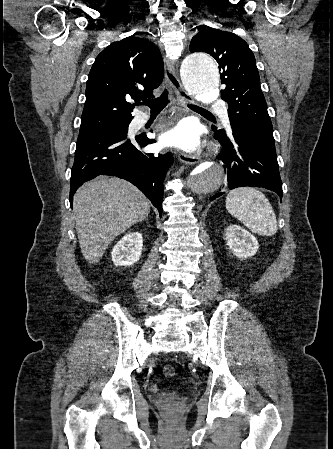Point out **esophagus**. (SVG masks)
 Segmentation results:
<instances>
[{
    "mask_svg": "<svg viewBox=\"0 0 333 449\" xmlns=\"http://www.w3.org/2000/svg\"><path fill=\"white\" fill-rule=\"evenodd\" d=\"M164 68L166 79L177 96L178 105L181 107H186V104L191 102V96L184 90L176 74L175 61L165 59ZM178 159L182 163L195 164L200 160V157L197 155H189L184 152H180Z\"/></svg>",
    "mask_w": 333,
    "mask_h": 449,
    "instance_id": "1",
    "label": "esophagus"
}]
</instances>
